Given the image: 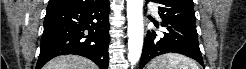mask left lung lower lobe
<instances>
[{
  "label": "left lung lower lobe",
  "mask_w": 246,
  "mask_h": 69,
  "mask_svg": "<svg viewBox=\"0 0 246 69\" xmlns=\"http://www.w3.org/2000/svg\"><path fill=\"white\" fill-rule=\"evenodd\" d=\"M161 26L166 28L165 32L157 35L154 31H148L145 37L140 69L154 57L165 53H180L204 66L195 27L173 23L166 19H162Z\"/></svg>",
  "instance_id": "1"
}]
</instances>
